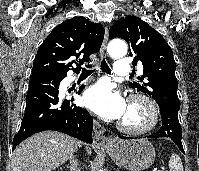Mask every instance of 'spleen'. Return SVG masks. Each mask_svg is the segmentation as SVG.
Masks as SVG:
<instances>
[{
	"label": "spleen",
	"mask_w": 199,
	"mask_h": 171,
	"mask_svg": "<svg viewBox=\"0 0 199 171\" xmlns=\"http://www.w3.org/2000/svg\"><path fill=\"white\" fill-rule=\"evenodd\" d=\"M168 165L170 171H183V164L181 159L175 153L171 155Z\"/></svg>",
	"instance_id": "spleen-1"
}]
</instances>
